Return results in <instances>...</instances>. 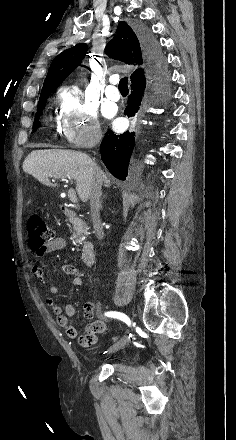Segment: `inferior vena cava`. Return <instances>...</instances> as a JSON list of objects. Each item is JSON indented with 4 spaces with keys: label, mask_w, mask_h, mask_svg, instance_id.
<instances>
[{
    "label": "inferior vena cava",
    "mask_w": 236,
    "mask_h": 440,
    "mask_svg": "<svg viewBox=\"0 0 236 440\" xmlns=\"http://www.w3.org/2000/svg\"><path fill=\"white\" fill-rule=\"evenodd\" d=\"M100 139H101V135L95 136L96 143H98ZM101 189H102V180L99 173H97L90 193V208H91L93 226L98 239H102L104 236L103 227L101 225L100 212H99L100 197L102 194Z\"/></svg>",
    "instance_id": "602c4592"
}]
</instances>
